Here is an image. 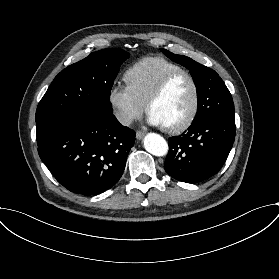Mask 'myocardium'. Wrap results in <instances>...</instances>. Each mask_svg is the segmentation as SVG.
<instances>
[{
    "instance_id": "f54148a6",
    "label": "myocardium",
    "mask_w": 279,
    "mask_h": 279,
    "mask_svg": "<svg viewBox=\"0 0 279 279\" xmlns=\"http://www.w3.org/2000/svg\"><path fill=\"white\" fill-rule=\"evenodd\" d=\"M186 76L192 83L194 88V101L193 106L189 115L179 124L174 126H164V129L168 133L176 134L180 133L186 129H188L192 123L194 122L200 108V88L199 84L196 81L195 77L187 70H180L173 73L168 74L164 79L160 82V84L154 89L147 100V111L150 112L151 106L160 99L170 85L179 77Z\"/></svg>"
}]
</instances>
